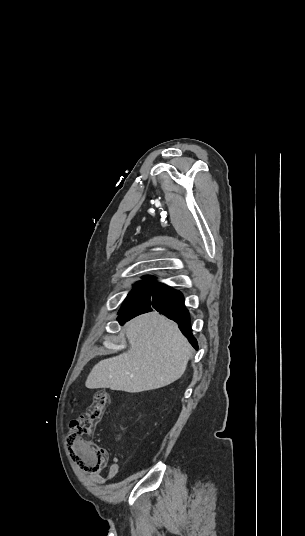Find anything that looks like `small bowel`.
I'll return each instance as SVG.
<instances>
[{"label":"small bowel","mask_w":305,"mask_h":536,"mask_svg":"<svg viewBox=\"0 0 305 536\" xmlns=\"http://www.w3.org/2000/svg\"><path fill=\"white\" fill-rule=\"evenodd\" d=\"M118 471H119V465L116 462H114L110 465L109 471L105 476L92 475L90 476V479L94 482L104 483L106 481L113 479L118 473Z\"/></svg>","instance_id":"c3829d8e"}]
</instances>
